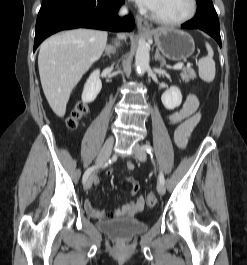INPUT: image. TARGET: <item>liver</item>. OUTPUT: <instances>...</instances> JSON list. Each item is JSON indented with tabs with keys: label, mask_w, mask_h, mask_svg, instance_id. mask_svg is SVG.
Instances as JSON below:
<instances>
[{
	"label": "liver",
	"mask_w": 247,
	"mask_h": 265,
	"mask_svg": "<svg viewBox=\"0 0 247 265\" xmlns=\"http://www.w3.org/2000/svg\"><path fill=\"white\" fill-rule=\"evenodd\" d=\"M107 43V32L75 29L58 33L40 46L38 68L45 97L53 112L63 117L74 87L97 61Z\"/></svg>",
	"instance_id": "obj_1"
}]
</instances>
